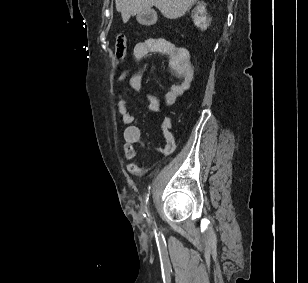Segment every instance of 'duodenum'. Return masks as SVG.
<instances>
[{"instance_id": "410a0bca", "label": "duodenum", "mask_w": 308, "mask_h": 283, "mask_svg": "<svg viewBox=\"0 0 308 283\" xmlns=\"http://www.w3.org/2000/svg\"><path fill=\"white\" fill-rule=\"evenodd\" d=\"M149 21H152V18H149Z\"/></svg>"}]
</instances>
